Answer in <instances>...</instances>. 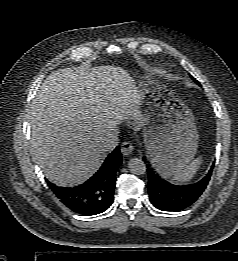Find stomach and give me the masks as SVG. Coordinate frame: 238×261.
<instances>
[{"label":"stomach","mask_w":238,"mask_h":261,"mask_svg":"<svg viewBox=\"0 0 238 261\" xmlns=\"http://www.w3.org/2000/svg\"><path fill=\"white\" fill-rule=\"evenodd\" d=\"M136 114L144 119L143 137L150 162L165 178L184 169L198 147L192 111L158 80L140 78L133 85Z\"/></svg>","instance_id":"stomach-1"}]
</instances>
